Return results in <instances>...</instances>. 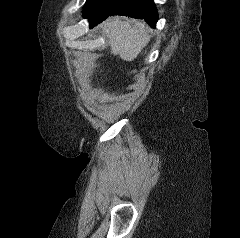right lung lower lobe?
Segmentation results:
<instances>
[{
    "instance_id": "obj_1",
    "label": "right lung lower lobe",
    "mask_w": 240,
    "mask_h": 238,
    "mask_svg": "<svg viewBox=\"0 0 240 238\" xmlns=\"http://www.w3.org/2000/svg\"><path fill=\"white\" fill-rule=\"evenodd\" d=\"M112 15H124L144 19L153 27L156 26L158 20V13L153 0H124L117 9L101 18L96 24Z\"/></svg>"
}]
</instances>
